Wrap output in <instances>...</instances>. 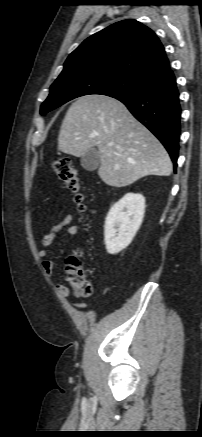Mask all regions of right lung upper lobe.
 Wrapping results in <instances>:
<instances>
[{
    "mask_svg": "<svg viewBox=\"0 0 202 437\" xmlns=\"http://www.w3.org/2000/svg\"><path fill=\"white\" fill-rule=\"evenodd\" d=\"M169 67L156 34L142 23L129 19L87 38L69 55L61 74L77 69L113 71L148 82Z\"/></svg>",
    "mask_w": 202,
    "mask_h": 437,
    "instance_id": "1",
    "label": "right lung upper lobe"
}]
</instances>
